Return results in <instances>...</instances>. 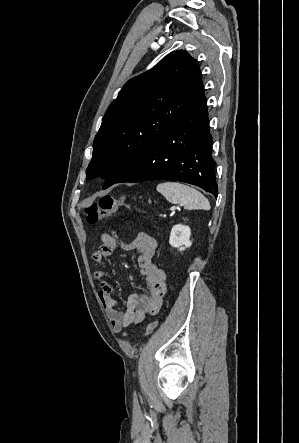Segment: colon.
<instances>
[{
  "mask_svg": "<svg viewBox=\"0 0 299 443\" xmlns=\"http://www.w3.org/2000/svg\"><path fill=\"white\" fill-rule=\"evenodd\" d=\"M129 207V204L124 200H117L110 195H103L97 203L89 204L86 209V219L89 224H96L100 220L107 218L114 214L120 208ZM159 322L154 320L150 322L145 329V334L150 335L158 327Z\"/></svg>",
  "mask_w": 299,
  "mask_h": 443,
  "instance_id": "obj_1",
  "label": "colon"
}]
</instances>
